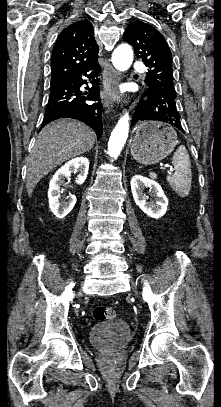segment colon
<instances>
[{
  "label": "colon",
  "mask_w": 221,
  "mask_h": 407,
  "mask_svg": "<svg viewBox=\"0 0 221 407\" xmlns=\"http://www.w3.org/2000/svg\"><path fill=\"white\" fill-rule=\"evenodd\" d=\"M115 316L114 309L107 306H96L93 310V317L98 322L113 320Z\"/></svg>",
  "instance_id": "colon-1"
}]
</instances>
